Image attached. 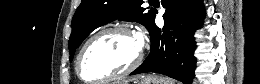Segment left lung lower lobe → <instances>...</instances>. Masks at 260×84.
<instances>
[{
	"label": "left lung lower lobe",
	"mask_w": 260,
	"mask_h": 84,
	"mask_svg": "<svg viewBox=\"0 0 260 84\" xmlns=\"http://www.w3.org/2000/svg\"><path fill=\"white\" fill-rule=\"evenodd\" d=\"M161 3L167 8L164 27L161 30L155 25L156 11L149 28L150 53L131 75L155 72L191 84L196 65L193 35L203 23V0H162Z\"/></svg>",
	"instance_id": "left-lung-lower-lobe-1"
}]
</instances>
